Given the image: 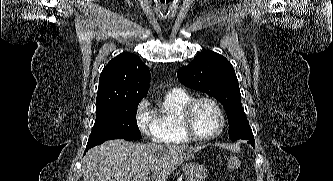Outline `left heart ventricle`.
Masks as SVG:
<instances>
[{"label": "left heart ventricle", "instance_id": "b2bd125f", "mask_svg": "<svg viewBox=\"0 0 333 181\" xmlns=\"http://www.w3.org/2000/svg\"><path fill=\"white\" fill-rule=\"evenodd\" d=\"M193 125L199 135H213L220 125L216 109L208 103L198 104L193 114Z\"/></svg>", "mask_w": 333, "mask_h": 181}]
</instances>
